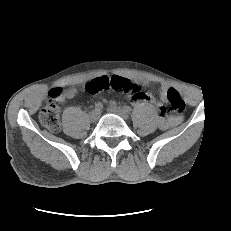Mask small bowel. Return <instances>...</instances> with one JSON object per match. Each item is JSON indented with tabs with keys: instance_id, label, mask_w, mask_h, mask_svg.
I'll return each mask as SVG.
<instances>
[{
	"instance_id": "1",
	"label": "small bowel",
	"mask_w": 231,
	"mask_h": 231,
	"mask_svg": "<svg viewBox=\"0 0 231 231\" xmlns=\"http://www.w3.org/2000/svg\"><path fill=\"white\" fill-rule=\"evenodd\" d=\"M100 78H102V77H100ZM59 89L61 90V94L59 96L60 102H64L68 99L73 98L77 93L74 88H68V89L59 88ZM161 91H162V95L164 96L165 92H166V86L165 85L162 86ZM130 100L133 103H139V102H151V103H153V102H155V99L150 94H148L146 92L139 91V90L136 93L130 95ZM175 123H177L176 119L169 118L166 121L162 122L161 127L167 128L169 126L174 125Z\"/></svg>"
}]
</instances>
